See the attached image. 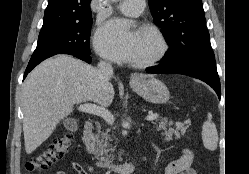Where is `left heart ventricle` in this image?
<instances>
[{
	"instance_id": "b2bd125f",
	"label": "left heart ventricle",
	"mask_w": 249,
	"mask_h": 174,
	"mask_svg": "<svg viewBox=\"0 0 249 174\" xmlns=\"http://www.w3.org/2000/svg\"><path fill=\"white\" fill-rule=\"evenodd\" d=\"M159 49L158 42L156 38L149 32L138 31L136 34L134 55L132 61L143 60Z\"/></svg>"
}]
</instances>
